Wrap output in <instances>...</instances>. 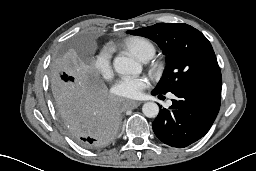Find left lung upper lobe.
I'll return each instance as SVG.
<instances>
[{"instance_id": "left-lung-upper-lobe-1", "label": "left lung upper lobe", "mask_w": 256, "mask_h": 171, "mask_svg": "<svg viewBox=\"0 0 256 171\" xmlns=\"http://www.w3.org/2000/svg\"><path fill=\"white\" fill-rule=\"evenodd\" d=\"M156 42L167 55V66L153 90L166 94L183 86L222 88L221 71L208 39L184 23H157L127 31Z\"/></svg>"}]
</instances>
